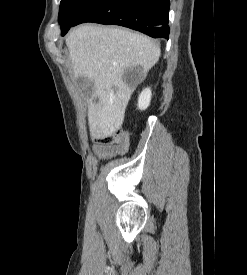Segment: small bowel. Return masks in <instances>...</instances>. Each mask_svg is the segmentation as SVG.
Returning <instances> with one entry per match:
<instances>
[{
  "label": "small bowel",
  "mask_w": 247,
  "mask_h": 275,
  "mask_svg": "<svg viewBox=\"0 0 247 275\" xmlns=\"http://www.w3.org/2000/svg\"><path fill=\"white\" fill-rule=\"evenodd\" d=\"M96 155L101 159L112 158L118 155H123L127 151L126 144L118 145H102L98 144L94 147Z\"/></svg>",
  "instance_id": "c3829d8e"
}]
</instances>
